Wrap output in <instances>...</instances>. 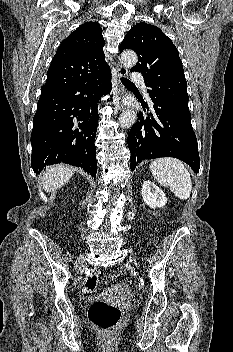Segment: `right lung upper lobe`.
Returning <instances> with one entry per match:
<instances>
[{"instance_id":"cb5924a9","label":"right lung upper lobe","mask_w":233,"mask_h":352,"mask_svg":"<svg viewBox=\"0 0 233 352\" xmlns=\"http://www.w3.org/2000/svg\"><path fill=\"white\" fill-rule=\"evenodd\" d=\"M104 43L102 28L97 22L79 26L58 47L41 90L63 91L108 70Z\"/></svg>"}]
</instances>
